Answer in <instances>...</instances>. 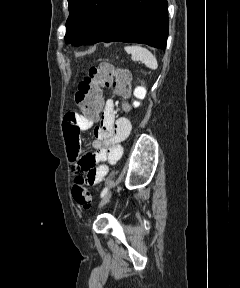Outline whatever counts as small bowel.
Returning a JSON list of instances; mask_svg holds the SVG:
<instances>
[{
	"label": "small bowel",
	"instance_id": "1",
	"mask_svg": "<svg viewBox=\"0 0 240 288\" xmlns=\"http://www.w3.org/2000/svg\"><path fill=\"white\" fill-rule=\"evenodd\" d=\"M94 120L77 112H69L63 121V134L71 170L77 177H82L86 184H99L107 175V164L119 161L123 149L121 143L130 135L132 126L126 117H116V107L112 99L104 103L99 126L94 128L92 153L82 155L80 132L91 129Z\"/></svg>",
	"mask_w": 240,
	"mask_h": 288
}]
</instances>
